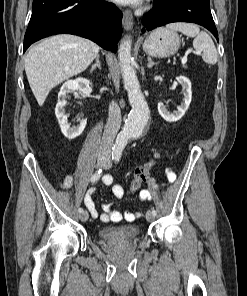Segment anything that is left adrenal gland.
<instances>
[{
  "instance_id": "left-adrenal-gland-1",
  "label": "left adrenal gland",
  "mask_w": 247,
  "mask_h": 296,
  "mask_svg": "<svg viewBox=\"0 0 247 296\" xmlns=\"http://www.w3.org/2000/svg\"><path fill=\"white\" fill-rule=\"evenodd\" d=\"M154 65H157V63H154L151 59V57H148V64L147 67L150 69L152 68Z\"/></svg>"
}]
</instances>
